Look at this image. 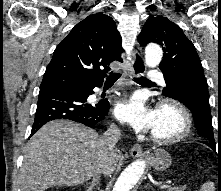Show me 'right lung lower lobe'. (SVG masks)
Returning <instances> with one entry per match:
<instances>
[{"label":"right lung lower lobe","mask_w":221,"mask_h":191,"mask_svg":"<svg viewBox=\"0 0 221 191\" xmlns=\"http://www.w3.org/2000/svg\"><path fill=\"white\" fill-rule=\"evenodd\" d=\"M93 88L58 86L40 89L30 137L44 124L55 119H69L89 127L103 120L109 111L108 101L92 105L86 103L88 96L94 93Z\"/></svg>","instance_id":"98d812e1"}]
</instances>
